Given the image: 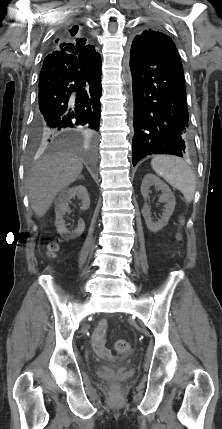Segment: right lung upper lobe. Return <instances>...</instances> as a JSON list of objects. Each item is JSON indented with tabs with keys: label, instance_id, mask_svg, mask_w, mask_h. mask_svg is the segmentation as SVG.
Returning <instances> with one entry per match:
<instances>
[{
	"label": "right lung upper lobe",
	"instance_id": "right-lung-upper-lobe-1",
	"mask_svg": "<svg viewBox=\"0 0 222 429\" xmlns=\"http://www.w3.org/2000/svg\"><path fill=\"white\" fill-rule=\"evenodd\" d=\"M78 30V29H77ZM77 30H72L71 33H61L59 38L55 40L53 46L55 51L64 52L79 56V59L95 56V48L89 45L86 38L75 35Z\"/></svg>",
	"mask_w": 222,
	"mask_h": 429
}]
</instances>
